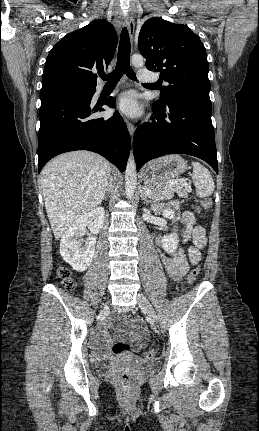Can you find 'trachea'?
<instances>
[{
  "label": "trachea",
  "instance_id": "3493384b",
  "mask_svg": "<svg viewBox=\"0 0 259 431\" xmlns=\"http://www.w3.org/2000/svg\"><path fill=\"white\" fill-rule=\"evenodd\" d=\"M130 52V38L127 28L124 27L120 36L116 67L110 74H101L100 77L103 80H106L108 84H116L121 79L123 74H126L127 77L132 80H136L135 73L130 67Z\"/></svg>",
  "mask_w": 259,
  "mask_h": 431
}]
</instances>
